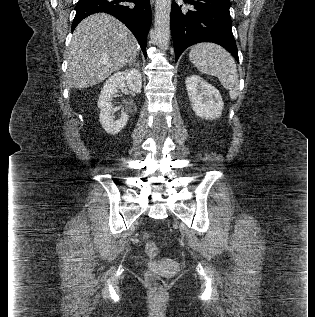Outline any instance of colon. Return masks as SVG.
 <instances>
[{
	"mask_svg": "<svg viewBox=\"0 0 315 317\" xmlns=\"http://www.w3.org/2000/svg\"><path fill=\"white\" fill-rule=\"evenodd\" d=\"M145 250L150 257H155L159 253L157 245L148 237H146ZM145 280L154 292L162 293L165 290V283L157 274L147 271L145 273Z\"/></svg>",
	"mask_w": 315,
	"mask_h": 317,
	"instance_id": "1",
	"label": "colon"
}]
</instances>
